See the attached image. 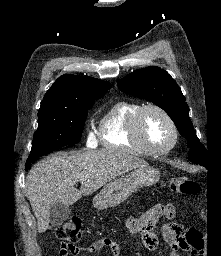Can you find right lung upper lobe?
I'll use <instances>...</instances> for the list:
<instances>
[{
    "mask_svg": "<svg viewBox=\"0 0 221 256\" xmlns=\"http://www.w3.org/2000/svg\"><path fill=\"white\" fill-rule=\"evenodd\" d=\"M108 82L77 75H62L46 92L38 112L73 109L85 98L102 97Z\"/></svg>",
    "mask_w": 221,
    "mask_h": 256,
    "instance_id": "1",
    "label": "right lung upper lobe"
}]
</instances>
